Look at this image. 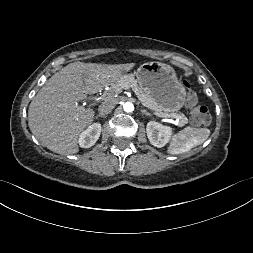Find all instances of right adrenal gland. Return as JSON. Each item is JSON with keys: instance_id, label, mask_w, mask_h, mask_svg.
Segmentation results:
<instances>
[{"instance_id": "1", "label": "right adrenal gland", "mask_w": 253, "mask_h": 253, "mask_svg": "<svg viewBox=\"0 0 253 253\" xmlns=\"http://www.w3.org/2000/svg\"><path fill=\"white\" fill-rule=\"evenodd\" d=\"M96 118H97V119H98V118H106V116L101 115V114H98V115L96 116Z\"/></svg>"}]
</instances>
